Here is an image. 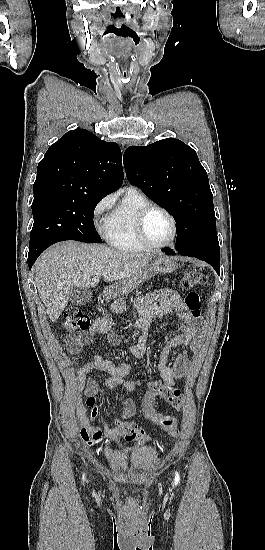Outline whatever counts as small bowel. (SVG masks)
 <instances>
[{
	"instance_id": "small-bowel-1",
	"label": "small bowel",
	"mask_w": 265,
	"mask_h": 550,
	"mask_svg": "<svg viewBox=\"0 0 265 550\" xmlns=\"http://www.w3.org/2000/svg\"><path fill=\"white\" fill-rule=\"evenodd\" d=\"M134 306L139 313L136 323L138 339L129 346L128 352L136 359H142L147 354V330L154 318L174 312L180 321V333L161 351L158 361V372L162 378L164 387L176 389V381L187 375L190 369V362L188 353L183 351L176 355L171 363H168L169 349L172 346H183L188 348L192 354L198 350L200 345L198 330L201 324L199 318L193 317L185 310V305L180 294L170 288L156 289L142 295L135 300ZM124 307L125 301L122 299L117 300L111 307V314L121 313ZM97 334L105 335L111 344L119 342V336L113 330L110 317L107 315L96 318L87 331L64 337L67 353L70 356L78 355L85 346H88L92 342L93 337ZM95 371L109 374L110 377L104 382V387L107 389H116L122 386L126 391L133 392L140 386L138 381L125 379L131 371V367L128 364L116 365L101 355L94 354L91 360L75 373L77 384L80 387L85 385L86 393L90 396L96 395L99 391L97 380L95 378L87 379V375ZM160 397L162 396L160 395ZM97 414L98 410L96 407L93 409L90 418L85 415L83 407H78L77 409V415L81 424L80 436L89 446L100 444L105 437L114 439L118 435L116 429L111 428L103 432L100 427L95 426L93 421L97 417ZM135 414V403L131 399H126L122 407V417L131 418ZM151 421L162 426L160 420Z\"/></svg>"
}]
</instances>
